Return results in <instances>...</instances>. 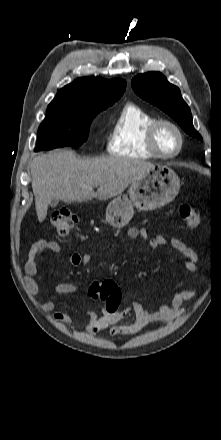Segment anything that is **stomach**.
Instances as JSON below:
<instances>
[{
    "label": "stomach",
    "instance_id": "obj_1",
    "mask_svg": "<svg viewBox=\"0 0 221 440\" xmlns=\"http://www.w3.org/2000/svg\"><path fill=\"white\" fill-rule=\"evenodd\" d=\"M180 189L177 174L165 165L153 166L145 171L129 187V198L120 195L107 206L106 221L115 228H122L139 210H154L172 201Z\"/></svg>",
    "mask_w": 221,
    "mask_h": 440
}]
</instances>
